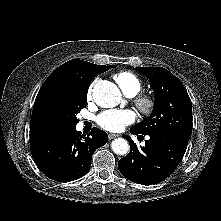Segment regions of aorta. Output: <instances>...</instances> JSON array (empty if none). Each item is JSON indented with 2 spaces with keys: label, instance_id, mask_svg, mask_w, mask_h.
<instances>
[{
  "label": "aorta",
  "instance_id": "aorta-1",
  "mask_svg": "<svg viewBox=\"0 0 221 221\" xmlns=\"http://www.w3.org/2000/svg\"><path fill=\"white\" fill-rule=\"evenodd\" d=\"M95 103L103 108H111L121 101V93L118 87L109 82L103 81L95 84L93 89ZM113 152L117 155H126L129 152V143L123 138L114 139L111 143Z\"/></svg>",
  "mask_w": 221,
  "mask_h": 221
}]
</instances>
